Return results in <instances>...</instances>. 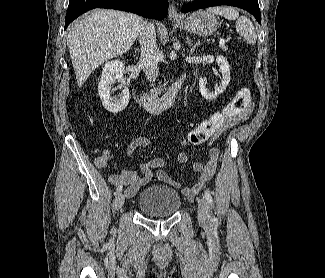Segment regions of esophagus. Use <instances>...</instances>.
Masks as SVG:
<instances>
[{"label": "esophagus", "mask_w": 325, "mask_h": 278, "mask_svg": "<svg viewBox=\"0 0 325 278\" xmlns=\"http://www.w3.org/2000/svg\"><path fill=\"white\" fill-rule=\"evenodd\" d=\"M168 18L171 21H179L181 20V15L178 13L176 6L173 4H170L169 11H168Z\"/></svg>", "instance_id": "obj_1"}]
</instances>
